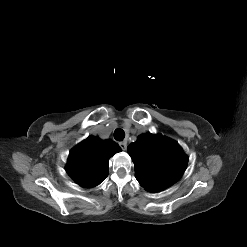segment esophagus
I'll list each match as a JSON object with an SVG mask.
<instances>
[{"label":"esophagus","mask_w":247,"mask_h":247,"mask_svg":"<svg viewBox=\"0 0 247 247\" xmlns=\"http://www.w3.org/2000/svg\"><path fill=\"white\" fill-rule=\"evenodd\" d=\"M119 146L121 147L122 150H126L127 149L126 141L119 142Z\"/></svg>","instance_id":"1"}]
</instances>
